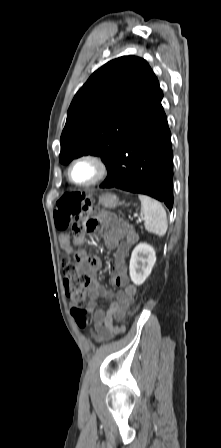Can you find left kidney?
Instances as JSON below:
<instances>
[{
  "label": "left kidney",
  "mask_w": 221,
  "mask_h": 448,
  "mask_svg": "<svg viewBox=\"0 0 221 448\" xmlns=\"http://www.w3.org/2000/svg\"><path fill=\"white\" fill-rule=\"evenodd\" d=\"M156 262L155 250L147 243H139L132 251L129 271L132 282L141 285L150 275Z\"/></svg>",
  "instance_id": "5707ae66"
}]
</instances>
